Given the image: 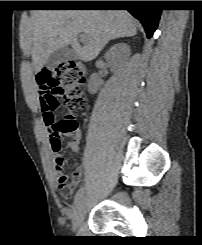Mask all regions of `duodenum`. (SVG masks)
Instances as JSON below:
<instances>
[{
    "instance_id": "duodenum-1",
    "label": "duodenum",
    "mask_w": 202,
    "mask_h": 245,
    "mask_svg": "<svg viewBox=\"0 0 202 245\" xmlns=\"http://www.w3.org/2000/svg\"><path fill=\"white\" fill-rule=\"evenodd\" d=\"M82 70L85 72L86 71V67L84 65H82Z\"/></svg>"
}]
</instances>
